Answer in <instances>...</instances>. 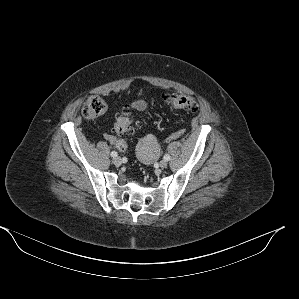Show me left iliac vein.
<instances>
[{"mask_svg": "<svg viewBox=\"0 0 299 299\" xmlns=\"http://www.w3.org/2000/svg\"><path fill=\"white\" fill-rule=\"evenodd\" d=\"M159 166L161 168H166L168 166V162L166 160H162L160 161Z\"/></svg>", "mask_w": 299, "mask_h": 299, "instance_id": "1", "label": "left iliac vein"}]
</instances>
